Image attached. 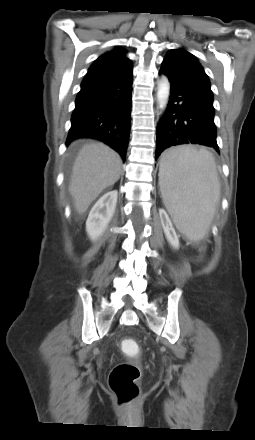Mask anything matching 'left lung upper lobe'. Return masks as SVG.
<instances>
[{
    "instance_id": "obj_1",
    "label": "left lung upper lobe",
    "mask_w": 255,
    "mask_h": 440,
    "mask_svg": "<svg viewBox=\"0 0 255 440\" xmlns=\"http://www.w3.org/2000/svg\"><path fill=\"white\" fill-rule=\"evenodd\" d=\"M161 67L173 80L191 92L213 101L209 78L197 58L188 51L184 49L170 50Z\"/></svg>"
}]
</instances>
